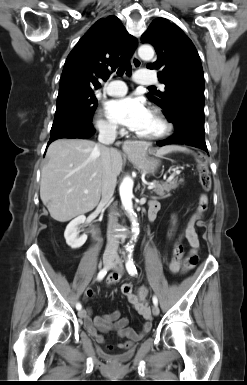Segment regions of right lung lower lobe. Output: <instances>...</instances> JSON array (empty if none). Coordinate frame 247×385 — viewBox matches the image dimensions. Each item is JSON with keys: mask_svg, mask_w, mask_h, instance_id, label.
Masks as SVG:
<instances>
[{"mask_svg": "<svg viewBox=\"0 0 247 385\" xmlns=\"http://www.w3.org/2000/svg\"><path fill=\"white\" fill-rule=\"evenodd\" d=\"M95 130L91 121L76 119L60 124L51 128L50 140L48 145L60 138H88L94 134Z\"/></svg>", "mask_w": 247, "mask_h": 385, "instance_id": "right-lung-lower-lobe-1", "label": "right lung lower lobe"}]
</instances>
